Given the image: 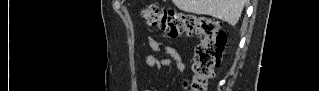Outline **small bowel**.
Here are the masks:
<instances>
[{
    "instance_id": "small-bowel-1",
    "label": "small bowel",
    "mask_w": 319,
    "mask_h": 91,
    "mask_svg": "<svg viewBox=\"0 0 319 91\" xmlns=\"http://www.w3.org/2000/svg\"><path fill=\"white\" fill-rule=\"evenodd\" d=\"M149 46L156 55H149L146 57L145 64L148 68L173 66L179 72L185 71L183 57L178 50L168 47L164 42L154 38H149ZM159 56L161 58H159Z\"/></svg>"
}]
</instances>
